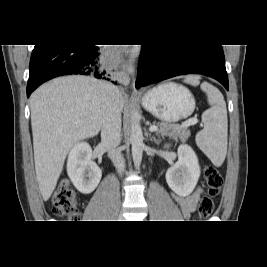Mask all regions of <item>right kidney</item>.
Segmentation results:
<instances>
[{"label":"right kidney","mask_w":267,"mask_h":267,"mask_svg":"<svg viewBox=\"0 0 267 267\" xmlns=\"http://www.w3.org/2000/svg\"><path fill=\"white\" fill-rule=\"evenodd\" d=\"M91 157L90 145L81 142L71 149L67 160V174L76 189L83 194L93 192L102 177L101 169Z\"/></svg>","instance_id":"1"}]
</instances>
